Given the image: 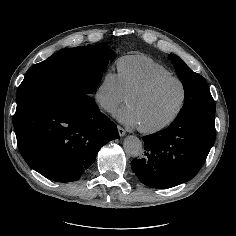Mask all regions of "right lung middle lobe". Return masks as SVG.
Masks as SVG:
<instances>
[{
  "label": "right lung middle lobe",
  "mask_w": 236,
  "mask_h": 236,
  "mask_svg": "<svg viewBox=\"0 0 236 236\" xmlns=\"http://www.w3.org/2000/svg\"><path fill=\"white\" fill-rule=\"evenodd\" d=\"M114 54L107 44L60 50L29 68L17 91V107L38 97L70 91L91 95Z\"/></svg>",
  "instance_id": "right-lung-middle-lobe-1"
}]
</instances>
